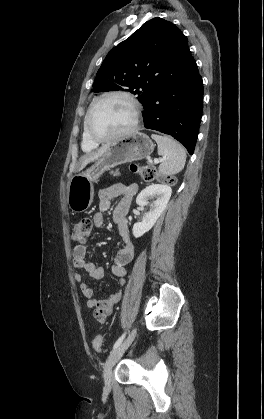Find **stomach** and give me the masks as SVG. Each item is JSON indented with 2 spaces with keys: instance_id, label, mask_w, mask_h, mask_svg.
Wrapping results in <instances>:
<instances>
[{
  "instance_id": "0dacf381",
  "label": "stomach",
  "mask_w": 264,
  "mask_h": 419,
  "mask_svg": "<svg viewBox=\"0 0 264 419\" xmlns=\"http://www.w3.org/2000/svg\"><path fill=\"white\" fill-rule=\"evenodd\" d=\"M153 150L151 139L140 132L110 143L107 151L91 167L71 178L67 190L70 210L81 213L90 207L94 197V183L105 171L123 163L147 158Z\"/></svg>"
}]
</instances>
